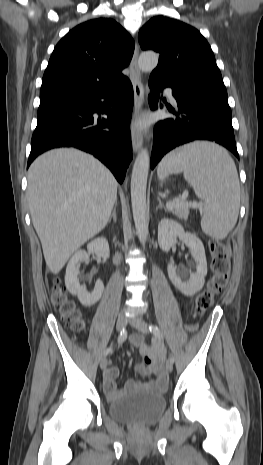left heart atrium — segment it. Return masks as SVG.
I'll return each instance as SVG.
<instances>
[{
    "mask_svg": "<svg viewBox=\"0 0 263 465\" xmlns=\"http://www.w3.org/2000/svg\"><path fill=\"white\" fill-rule=\"evenodd\" d=\"M138 126H139V127L144 126V122H143V121L139 122Z\"/></svg>",
    "mask_w": 263,
    "mask_h": 465,
    "instance_id": "obj_1",
    "label": "left heart atrium"
}]
</instances>
